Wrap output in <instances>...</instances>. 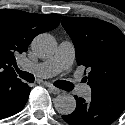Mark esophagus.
<instances>
[{
    "label": "esophagus",
    "instance_id": "1",
    "mask_svg": "<svg viewBox=\"0 0 125 125\" xmlns=\"http://www.w3.org/2000/svg\"><path fill=\"white\" fill-rule=\"evenodd\" d=\"M49 87V90L53 93V94H55V95H57V94H60L62 91L60 90V89H58V88H56V87H54V86H48Z\"/></svg>",
    "mask_w": 125,
    "mask_h": 125
}]
</instances>
